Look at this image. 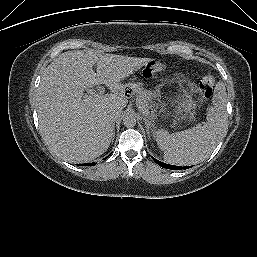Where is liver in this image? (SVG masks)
Wrapping results in <instances>:
<instances>
[{
  "instance_id": "liver-1",
  "label": "liver",
  "mask_w": 257,
  "mask_h": 257,
  "mask_svg": "<svg viewBox=\"0 0 257 257\" xmlns=\"http://www.w3.org/2000/svg\"><path fill=\"white\" fill-rule=\"evenodd\" d=\"M150 61L94 50L66 51L52 61L42 75L36 104L42 138L51 151L70 163L106 152L114 131L108 115L121 113L128 103L121 81ZM99 84L113 93L85 100L83 90Z\"/></svg>"
}]
</instances>
